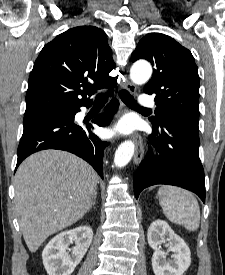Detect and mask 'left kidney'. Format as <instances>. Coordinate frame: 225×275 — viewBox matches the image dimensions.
<instances>
[{
  "label": "left kidney",
  "instance_id": "1",
  "mask_svg": "<svg viewBox=\"0 0 225 275\" xmlns=\"http://www.w3.org/2000/svg\"><path fill=\"white\" fill-rule=\"evenodd\" d=\"M169 242L168 251L174 252L173 260H166L167 252L161 250V244ZM147 240L154 250L152 267L155 275H183L191 264V252L187 244L163 220L154 221L147 232Z\"/></svg>",
  "mask_w": 225,
  "mask_h": 275
}]
</instances>
